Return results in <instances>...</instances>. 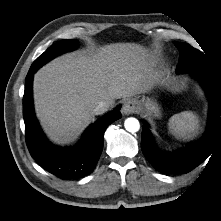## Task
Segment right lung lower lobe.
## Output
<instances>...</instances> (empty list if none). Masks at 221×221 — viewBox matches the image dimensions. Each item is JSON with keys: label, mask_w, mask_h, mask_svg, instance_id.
<instances>
[{"label": "right lung lower lobe", "mask_w": 221, "mask_h": 221, "mask_svg": "<svg viewBox=\"0 0 221 221\" xmlns=\"http://www.w3.org/2000/svg\"><path fill=\"white\" fill-rule=\"evenodd\" d=\"M36 71L29 70L23 97V117L29 152L41 167L61 179L86 176L93 172L99 160L105 129L122 116L119 112L120 106L89 126L75 147H57L46 139L34 114L32 82Z\"/></svg>", "instance_id": "right-lung-lower-lobe-1"}]
</instances>
